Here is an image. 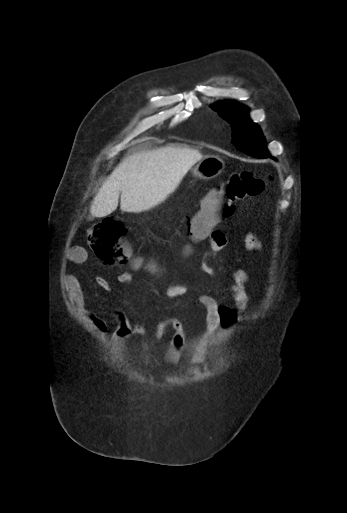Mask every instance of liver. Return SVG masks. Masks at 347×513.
I'll use <instances>...</instances> for the list:
<instances>
[{
	"mask_svg": "<svg viewBox=\"0 0 347 513\" xmlns=\"http://www.w3.org/2000/svg\"><path fill=\"white\" fill-rule=\"evenodd\" d=\"M203 155L188 147L165 146L128 156L115 168L96 194L90 217L101 218L117 209L142 212L156 206L180 183Z\"/></svg>",
	"mask_w": 347,
	"mask_h": 513,
	"instance_id": "6515ba94",
	"label": "liver"
}]
</instances>
